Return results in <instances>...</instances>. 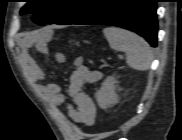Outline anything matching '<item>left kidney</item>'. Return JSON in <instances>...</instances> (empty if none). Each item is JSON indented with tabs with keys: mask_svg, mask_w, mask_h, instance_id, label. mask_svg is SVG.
I'll use <instances>...</instances> for the list:
<instances>
[{
	"mask_svg": "<svg viewBox=\"0 0 182 140\" xmlns=\"http://www.w3.org/2000/svg\"><path fill=\"white\" fill-rule=\"evenodd\" d=\"M116 83L117 81L114 76H109L104 80L101 88L95 95L99 107L105 109L117 104Z\"/></svg>",
	"mask_w": 182,
	"mask_h": 140,
	"instance_id": "obj_1",
	"label": "left kidney"
}]
</instances>
